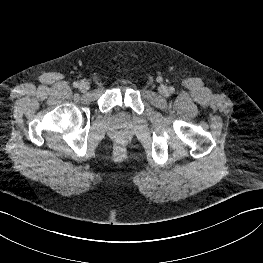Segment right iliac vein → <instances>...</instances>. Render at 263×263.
I'll list each match as a JSON object with an SVG mask.
<instances>
[{"label": "right iliac vein", "instance_id": "1", "mask_svg": "<svg viewBox=\"0 0 263 263\" xmlns=\"http://www.w3.org/2000/svg\"><path fill=\"white\" fill-rule=\"evenodd\" d=\"M90 88V84L87 80H82L79 85V90L86 92Z\"/></svg>", "mask_w": 263, "mask_h": 263}]
</instances>
